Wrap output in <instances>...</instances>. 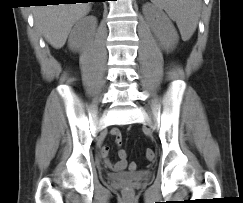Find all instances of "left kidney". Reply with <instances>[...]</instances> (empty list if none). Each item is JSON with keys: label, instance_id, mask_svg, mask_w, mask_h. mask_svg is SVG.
<instances>
[{"label": "left kidney", "instance_id": "5707ae66", "mask_svg": "<svg viewBox=\"0 0 243 203\" xmlns=\"http://www.w3.org/2000/svg\"><path fill=\"white\" fill-rule=\"evenodd\" d=\"M143 13L161 47L173 49L178 43V34L167 15L149 4L143 6Z\"/></svg>", "mask_w": 243, "mask_h": 203}]
</instances>
